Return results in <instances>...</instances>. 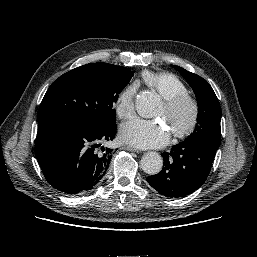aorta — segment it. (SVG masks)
Segmentation results:
<instances>
[{"instance_id": "1", "label": "aorta", "mask_w": 257, "mask_h": 257, "mask_svg": "<svg viewBox=\"0 0 257 257\" xmlns=\"http://www.w3.org/2000/svg\"><path fill=\"white\" fill-rule=\"evenodd\" d=\"M159 96L153 91H141L135 100V107L139 115L149 117L159 105ZM163 166V159L157 152H148L141 159L142 170L149 174H158Z\"/></svg>"}]
</instances>
